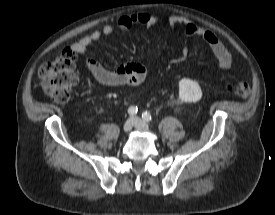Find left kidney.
I'll list each match as a JSON object with an SVG mask.
<instances>
[{"label":"left kidney","mask_w":275,"mask_h":215,"mask_svg":"<svg viewBox=\"0 0 275 215\" xmlns=\"http://www.w3.org/2000/svg\"><path fill=\"white\" fill-rule=\"evenodd\" d=\"M179 97L184 102H197L202 97L199 84L191 79L183 78L179 81Z\"/></svg>","instance_id":"5707ae66"}]
</instances>
